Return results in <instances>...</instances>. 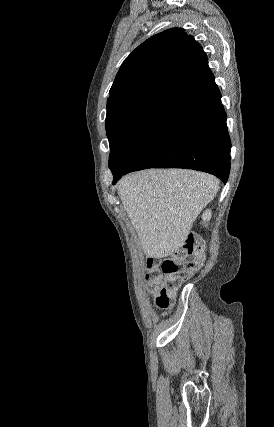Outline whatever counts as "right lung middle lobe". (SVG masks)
Returning <instances> with one entry per match:
<instances>
[{"label": "right lung middle lobe", "instance_id": "dd1d6c3e", "mask_svg": "<svg viewBox=\"0 0 274 427\" xmlns=\"http://www.w3.org/2000/svg\"><path fill=\"white\" fill-rule=\"evenodd\" d=\"M175 102L167 96L152 94L107 111L109 166L127 164Z\"/></svg>", "mask_w": 274, "mask_h": 427}]
</instances>
